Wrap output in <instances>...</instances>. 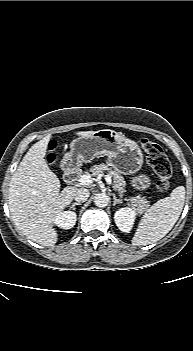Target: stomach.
<instances>
[{
    "mask_svg": "<svg viewBox=\"0 0 193 351\" xmlns=\"http://www.w3.org/2000/svg\"><path fill=\"white\" fill-rule=\"evenodd\" d=\"M101 155L107 156L108 164L115 171L133 175L131 185L134 188L144 190L151 185L148 175L137 174L144 163L139 145L124 134L110 129L95 131L89 137L74 139L70 144V151L64 156L63 164L76 167Z\"/></svg>",
    "mask_w": 193,
    "mask_h": 351,
    "instance_id": "obj_1",
    "label": "stomach"
}]
</instances>
